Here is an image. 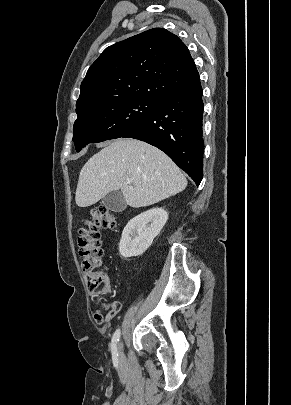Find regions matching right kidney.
<instances>
[{
    "label": "right kidney",
    "mask_w": 291,
    "mask_h": 405,
    "mask_svg": "<svg viewBox=\"0 0 291 405\" xmlns=\"http://www.w3.org/2000/svg\"><path fill=\"white\" fill-rule=\"evenodd\" d=\"M167 219L168 213L163 208H152L131 219L125 226L119 243L121 256L129 258L142 255L160 233Z\"/></svg>",
    "instance_id": "ca27d5eb"
}]
</instances>
